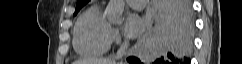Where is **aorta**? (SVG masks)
I'll list each match as a JSON object with an SVG mask.
<instances>
[{
    "label": "aorta",
    "instance_id": "aorta-1",
    "mask_svg": "<svg viewBox=\"0 0 242 64\" xmlns=\"http://www.w3.org/2000/svg\"><path fill=\"white\" fill-rule=\"evenodd\" d=\"M124 6V0H110L105 10L107 19L115 24L122 23Z\"/></svg>",
    "mask_w": 242,
    "mask_h": 64
}]
</instances>
